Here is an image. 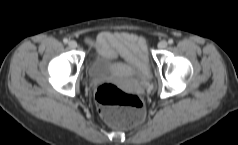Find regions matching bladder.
I'll return each mask as SVG.
<instances>
[{
    "instance_id": "31cf9c89",
    "label": "bladder",
    "mask_w": 238,
    "mask_h": 145,
    "mask_svg": "<svg viewBox=\"0 0 238 145\" xmlns=\"http://www.w3.org/2000/svg\"><path fill=\"white\" fill-rule=\"evenodd\" d=\"M111 65H122L121 63H117L106 56L100 54H94L88 61L87 64V75L92 79H96L98 74L108 66ZM145 78L150 77V70L146 69L140 72Z\"/></svg>"
}]
</instances>
